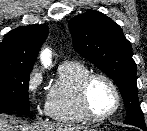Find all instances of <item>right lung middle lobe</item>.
Instances as JSON below:
<instances>
[{
  "label": "right lung middle lobe",
  "mask_w": 147,
  "mask_h": 131,
  "mask_svg": "<svg viewBox=\"0 0 147 131\" xmlns=\"http://www.w3.org/2000/svg\"><path fill=\"white\" fill-rule=\"evenodd\" d=\"M31 69L0 68V113L29 112L28 84Z\"/></svg>",
  "instance_id": "dd1d6c3e"
}]
</instances>
